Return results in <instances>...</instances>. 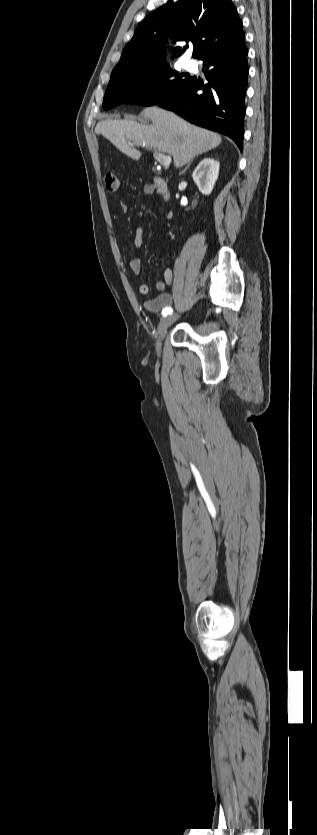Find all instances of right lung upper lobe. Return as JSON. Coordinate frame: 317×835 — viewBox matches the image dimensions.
<instances>
[{
    "instance_id": "obj_1",
    "label": "right lung upper lobe",
    "mask_w": 317,
    "mask_h": 835,
    "mask_svg": "<svg viewBox=\"0 0 317 835\" xmlns=\"http://www.w3.org/2000/svg\"><path fill=\"white\" fill-rule=\"evenodd\" d=\"M167 36L194 43L193 58H199L217 46L244 39V31L231 0L167 3L140 22L113 70L141 71L166 65ZM184 50L177 47L176 55Z\"/></svg>"
}]
</instances>
